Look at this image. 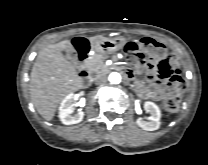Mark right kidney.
<instances>
[{
    "label": "right kidney",
    "mask_w": 208,
    "mask_h": 165,
    "mask_svg": "<svg viewBox=\"0 0 208 165\" xmlns=\"http://www.w3.org/2000/svg\"><path fill=\"white\" fill-rule=\"evenodd\" d=\"M76 100V96L71 93L61 102L58 116L61 122L65 125L77 124L83 120L84 112L79 111L78 113L73 114Z\"/></svg>",
    "instance_id": "1"
}]
</instances>
